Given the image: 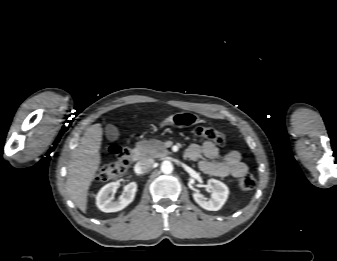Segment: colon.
I'll return each instance as SVG.
<instances>
[{"mask_svg":"<svg viewBox=\"0 0 337 261\" xmlns=\"http://www.w3.org/2000/svg\"><path fill=\"white\" fill-rule=\"evenodd\" d=\"M194 133L197 137L209 140L217 145L225 143V136L222 132L211 128L199 126L196 127ZM111 154L115 156V161L104 164L99 167L96 172V178L100 181H106L122 176L131 163L130 151L127 147L113 144L109 148ZM255 179L251 174L245 173L237 181V187L242 191H248L255 187Z\"/></svg>","mask_w":337,"mask_h":261,"instance_id":"1","label":"colon"}]
</instances>
